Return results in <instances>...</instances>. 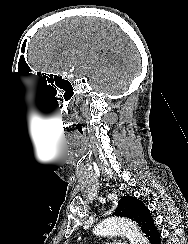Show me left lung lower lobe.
I'll use <instances>...</instances> for the list:
<instances>
[{"instance_id": "obj_1", "label": "left lung lower lobe", "mask_w": 188, "mask_h": 244, "mask_svg": "<svg viewBox=\"0 0 188 244\" xmlns=\"http://www.w3.org/2000/svg\"><path fill=\"white\" fill-rule=\"evenodd\" d=\"M141 229L151 244H161L160 233L150 213L144 217Z\"/></svg>"}]
</instances>
